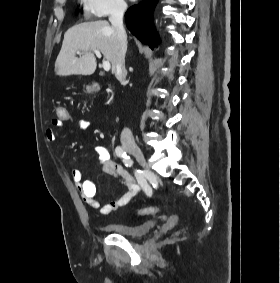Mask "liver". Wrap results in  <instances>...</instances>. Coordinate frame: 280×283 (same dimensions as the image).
I'll return each instance as SVG.
<instances>
[{
  "mask_svg": "<svg viewBox=\"0 0 280 283\" xmlns=\"http://www.w3.org/2000/svg\"><path fill=\"white\" fill-rule=\"evenodd\" d=\"M92 49L104 55L115 73L118 40L114 27L106 20L81 23L66 31L55 62V73L59 76L93 74L97 63Z\"/></svg>",
  "mask_w": 280,
  "mask_h": 283,
  "instance_id": "1",
  "label": "liver"
}]
</instances>
